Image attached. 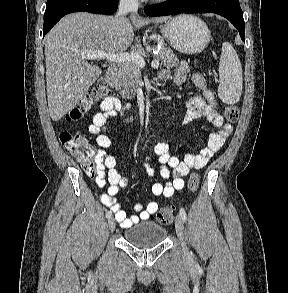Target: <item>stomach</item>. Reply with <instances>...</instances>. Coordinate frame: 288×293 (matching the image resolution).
Returning a JSON list of instances; mask_svg holds the SVG:
<instances>
[{"mask_svg":"<svg viewBox=\"0 0 288 293\" xmlns=\"http://www.w3.org/2000/svg\"><path fill=\"white\" fill-rule=\"evenodd\" d=\"M162 35L177 51L198 54L209 44L211 35L206 23L194 15H179L160 26Z\"/></svg>","mask_w":288,"mask_h":293,"instance_id":"0dacf381","label":"stomach"}]
</instances>
